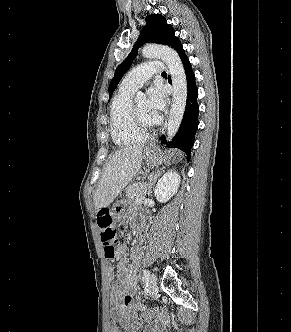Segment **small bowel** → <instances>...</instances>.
Here are the masks:
<instances>
[{"label":"small bowel","mask_w":291,"mask_h":332,"mask_svg":"<svg viewBox=\"0 0 291 332\" xmlns=\"http://www.w3.org/2000/svg\"><path fill=\"white\" fill-rule=\"evenodd\" d=\"M143 251L140 247H135L131 251V265H128L125 245H120L116 249V257L119 261L116 268L118 286L110 295V303L113 316L127 332H138L140 327H144L147 332H155L164 324V317L150 322L145 318L139 317V311L145 309L141 303L136 273ZM108 274L113 275V269H108Z\"/></svg>","instance_id":"obj_1"}]
</instances>
